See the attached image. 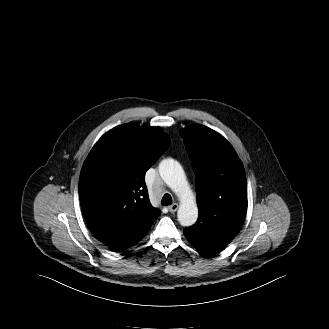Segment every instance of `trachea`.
I'll return each mask as SVG.
<instances>
[{
	"label": "trachea",
	"instance_id": "trachea-1",
	"mask_svg": "<svg viewBox=\"0 0 329 329\" xmlns=\"http://www.w3.org/2000/svg\"><path fill=\"white\" fill-rule=\"evenodd\" d=\"M163 206H168L172 204V197L170 194H165L161 200Z\"/></svg>",
	"mask_w": 329,
	"mask_h": 329
}]
</instances>
